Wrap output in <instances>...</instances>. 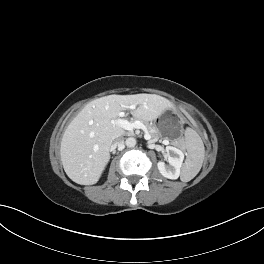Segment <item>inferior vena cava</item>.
<instances>
[{
	"instance_id": "inferior-vena-cava-1",
	"label": "inferior vena cava",
	"mask_w": 264,
	"mask_h": 264,
	"mask_svg": "<svg viewBox=\"0 0 264 264\" xmlns=\"http://www.w3.org/2000/svg\"><path fill=\"white\" fill-rule=\"evenodd\" d=\"M114 147L118 148L119 150H122L124 149L125 145H124V138L122 136H119L115 139L114 141V144H113Z\"/></svg>"
}]
</instances>
